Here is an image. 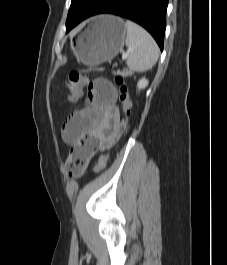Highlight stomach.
<instances>
[{"mask_svg":"<svg viewBox=\"0 0 227 265\" xmlns=\"http://www.w3.org/2000/svg\"><path fill=\"white\" fill-rule=\"evenodd\" d=\"M123 21L112 15H99L91 19L71 45L78 62L97 66L114 58L121 51L126 39Z\"/></svg>","mask_w":227,"mask_h":265,"instance_id":"1","label":"stomach"}]
</instances>
